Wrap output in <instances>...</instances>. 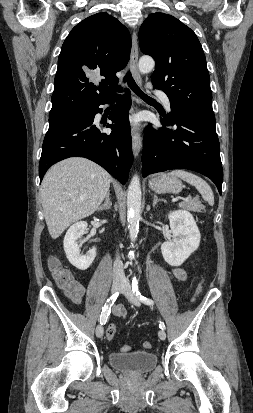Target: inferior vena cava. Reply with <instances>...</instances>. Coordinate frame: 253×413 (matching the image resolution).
Segmentation results:
<instances>
[{
  "label": "inferior vena cava",
  "mask_w": 253,
  "mask_h": 413,
  "mask_svg": "<svg viewBox=\"0 0 253 413\" xmlns=\"http://www.w3.org/2000/svg\"><path fill=\"white\" fill-rule=\"evenodd\" d=\"M113 276L124 277V270L120 259L117 257L113 265Z\"/></svg>",
  "instance_id": "obj_1"
}]
</instances>
